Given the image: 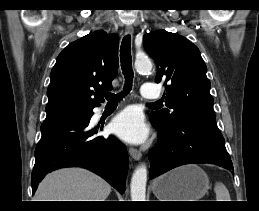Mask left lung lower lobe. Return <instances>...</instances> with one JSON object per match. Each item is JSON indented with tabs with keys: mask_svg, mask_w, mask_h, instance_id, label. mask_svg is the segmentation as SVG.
<instances>
[{
	"mask_svg": "<svg viewBox=\"0 0 259 211\" xmlns=\"http://www.w3.org/2000/svg\"><path fill=\"white\" fill-rule=\"evenodd\" d=\"M151 122L159 131L160 142L149 152L150 178L190 163H210L233 170L216 124L194 118L182 119L170 127Z\"/></svg>",
	"mask_w": 259,
	"mask_h": 211,
	"instance_id": "0a47b994",
	"label": "left lung lower lobe"
}]
</instances>
